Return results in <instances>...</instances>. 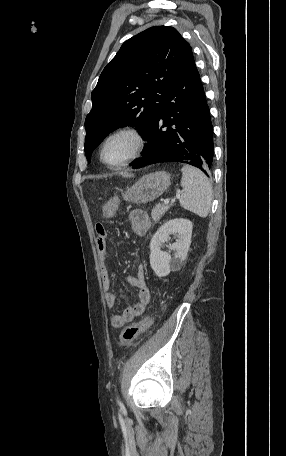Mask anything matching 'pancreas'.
<instances>
[{
    "label": "pancreas",
    "mask_w": 286,
    "mask_h": 456,
    "mask_svg": "<svg viewBox=\"0 0 286 456\" xmlns=\"http://www.w3.org/2000/svg\"><path fill=\"white\" fill-rule=\"evenodd\" d=\"M170 208L169 205H156L151 212V217L154 222H157L161 219V217L166 213V211Z\"/></svg>",
    "instance_id": "1"
}]
</instances>
